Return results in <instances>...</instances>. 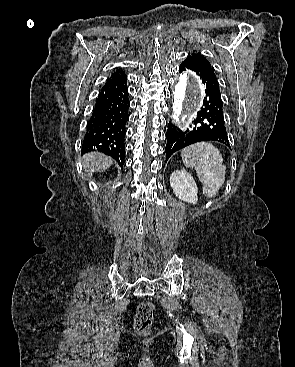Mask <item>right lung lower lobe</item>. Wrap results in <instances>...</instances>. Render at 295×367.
<instances>
[{"instance_id":"right-lung-lower-lobe-1","label":"right lung lower lobe","mask_w":295,"mask_h":367,"mask_svg":"<svg viewBox=\"0 0 295 367\" xmlns=\"http://www.w3.org/2000/svg\"><path fill=\"white\" fill-rule=\"evenodd\" d=\"M128 95L126 77L109 79L105 83L87 126L82 154L100 151L116 159L123 167L130 106Z\"/></svg>"}]
</instances>
